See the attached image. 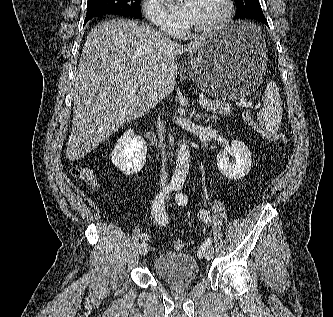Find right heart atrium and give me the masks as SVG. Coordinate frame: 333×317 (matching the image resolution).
Segmentation results:
<instances>
[{"label":"right heart atrium","mask_w":333,"mask_h":317,"mask_svg":"<svg viewBox=\"0 0 333 317\" xmlns=\"http://www.w3.org/2000/svg\"><path fill=\"white\" fill-rule=\"evenodd\" d=\"M142 9L145 17L158 29L170 34L180 31V26L164 12L159 0H144Z\"/></svg>","instance_id":"1"}]
</instances>
